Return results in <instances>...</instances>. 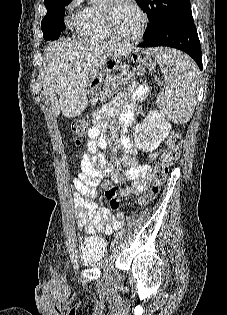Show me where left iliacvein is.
Returning <instances> with one entry per match:
<instances>
[{
	"mask_svg": "<svg viewBox=\"0 0 227 315\" xmlns=\"http://www.w3.org/2000/svg\"><path fill=\"white\" fill-rule=\"evenodd\" d=\"M119 245V239H114L113 241V248L116 249Z\"/></svg>",
	"mask_w": 227,
	"mask_h": 315,
	"instance_id": "left-iliac-vein-1",
	"label": "left iliac vein"
}]
</instances>
